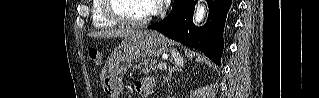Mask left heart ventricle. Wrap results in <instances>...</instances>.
I'll return each instance as SVG.
<instances>
[{"instance_id": "b2bd125f", "label": "left heart ventricle", "mask_w": 319, "mask_h": 98, "mask_svg": "<svg viewBox=\"0 0 319 98\" xmlns=\"http://www.w3.org/2000/svg\"><path fill=\"white\" fill-rule=\"evenodd\" d=\"M153 10V3L149 0H115L113 11L126 19L140 20Z\"/></svg>"}]
</instances>
